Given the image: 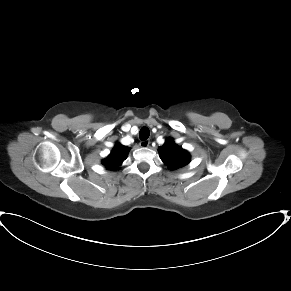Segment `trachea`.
I'll use <instances>...</instances> for the list:
<instances>
[{
    "instance_id": "3493384b",
    "label": "trachea",
    "mask_w": 291,
    "mask_h": 291,
    "mask_svg": "<svg viewBox=\"0 0 291 291\" xmlns=\"http://www.w3.org/2000/svg\"><path fill=\"white\" fill-rule=\"evenodd\" d=\"M150 135V131L147 127H142L140 132H139V137L141 140H146Z\"/></svg>"
}]
</instances>
